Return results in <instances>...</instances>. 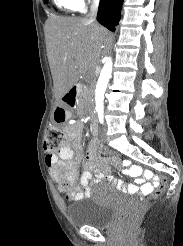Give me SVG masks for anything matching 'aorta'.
I'll use <instances>...</instances> for the list:
<instances>
[{
	"label": "aorta",
	"instance_id": "1",
	"mask_svg": "<svg viewBox=\"0 0 183 246\" xmlns=\"http://www.w3.org/2000/svg\"><path fill=\"white\" fill-rule=\"evenodd\" d=\"M112 59L107 57L105 59V64L101 70L96 89H95V103L96 110H103L104 108V94L107 88L109 79L112 73Z\"/></svg>",
	"mask_w": 183,
	"mask_h": 246
}]
</instances>
